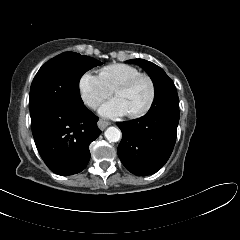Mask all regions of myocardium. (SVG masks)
Here are the masks:
<instances>
[{"label":"myocardium","mask_w":240,"mask_h":240,"mask_svg":"<svg viewBox=\"0 0 240 240\" xmlns=\"http://www.w3.org/2000/svg\"><path fill=\"white\" fill-rule=\"evenodd\" d=\"M142 79L147 80L150 85V97H149L147 104L142 109L135 111V112H130V115L132 117H142V116L146 115L152 108L153 103L155 101V97H156V87H155V83H154L153 79L147 74H140V75H137V76L119 84L114 90L115 94H117L120 90H126V89L131 88L138 81H140Z\"/></svg>","instance_id":"1"}]
</instances>
